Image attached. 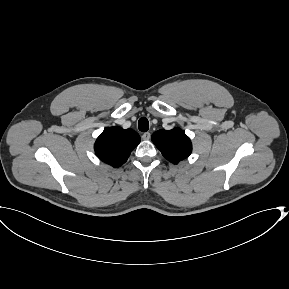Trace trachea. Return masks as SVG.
Returning <instances> with one entry per match:
<instances>
[{"label":"trachea","instance_id":"1","mask_svg":"<svg viewBox=\"0 0 289 289\" xmlns=\"http://www.w3.org/2000/svg\"><path fill=\"white\" fill-rule=\"evenodd\" d=\"M138 128L142 132H146L149 129V121L147 118L142 117L138 121Z\"/></svg>","mask_w":289,"mask_h":289}]
</instances>
